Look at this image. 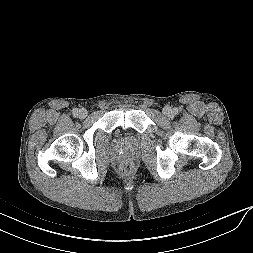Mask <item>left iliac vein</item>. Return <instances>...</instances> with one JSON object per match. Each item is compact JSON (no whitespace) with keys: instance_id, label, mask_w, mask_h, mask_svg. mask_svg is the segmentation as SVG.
I'll list each match as a JSON object with an SVG mask.
<instances>
[{"instance_id":"left-iliac-vein-1","label":"left iliac vein","mask_w":253,"mask_h":253,"mask_svg":"<svg viewBox=\"0 0 253 253\" xmlns=\"http://www.w3.org/2000/svg\"><path fill=\"white\" fill-rule=\"evenodd\" d=\"M163 114L166 115V116H171L172 114V109L168 106L164 107L163 108Z\"/></svg>"}]
</instances>
